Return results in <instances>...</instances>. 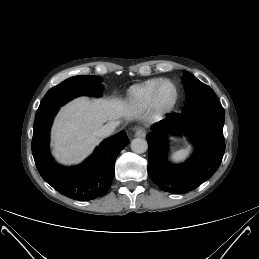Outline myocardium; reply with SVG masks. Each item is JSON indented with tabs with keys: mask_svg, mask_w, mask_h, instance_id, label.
I'll return each mask as SVG.
<instances>
[{
	"mask_svg": "<svg viewBox=\"0 0 259 259\" xmlns=\"http://www.w3.org/2000/svg\"><path fill=\"white\" fill-rule=\"evenodd\" d=\"M165 85L171 86L174 93L172 100L168 103H163L160 100V91L162 87ZM178 98H179V92H178L177 86L170 80H162L154 90L151 106L153 110L156 112L169 113L175 108Z\"/></svg>",
	"mask_w": 259,
	"mask_h": 259,
	"instance_id": "1",
	"label": "myocardium"
}]
</instances>
